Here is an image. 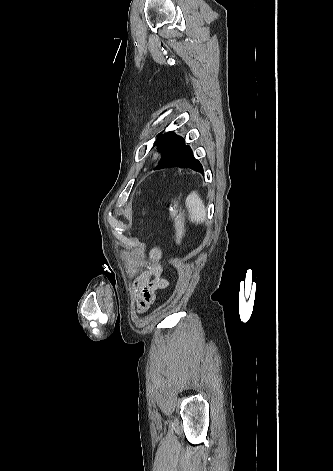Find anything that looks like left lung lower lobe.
Wrapping results in <instances>:
<instances>
[{
	"label": "left lung lower lobe",
	"mask_w": 333,
	"mask_h": 471,
	"mask_svg": "<svg viewBox=\"0 0 333 471\" xmlns=\"http://www.w3.org/2000/svg\"><path fill=\"white\" fill-rule=\"evenodd\" d=\"M170 167L191 168L194 171L204 175L203 166L195 159L193 152L189 146H185L177 152L169 161Z\"/></svg>",
	"instance_id": "0a47b994"
}]
</instances>
